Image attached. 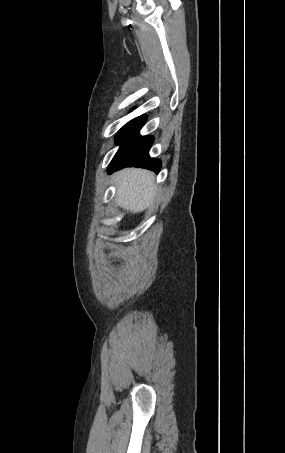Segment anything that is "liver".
Instances as JSON below:
<instances>
[{
  "mask_svg": "<svg viewBox=\"0 0 285 453\" xmlns=\"http://www.w3.org/2000/svg\"><path fill=\"white\" fill-rule=\"evenodd\" d=\"M154 175L143 169L126 168L116 173L117 183L115 201L118 205L132 213L147 209L153 202L156 187L153 185Z\"/></svg>",
  "mask_w": 285,
  "mask_h": 453,
  "instance_id": "liver-1",
  "label": "liver"
}]
</instances>
